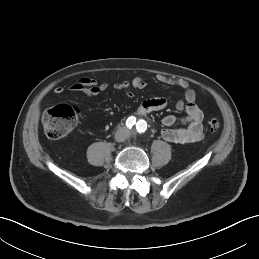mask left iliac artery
<instances>
[{
    "mask_svg": "<svg viewBox=\"0 0 259 259\" xmlns=\"http://www.w3.org/2000/svg\"><path fill=\"white\" fill-rule=\"evenodd\" d=\"M136 128L138 132H145L147 129V123L144 120H140L137 122Z\"/></svg>",
    "mask_w": 259,
    "mask_h": 259,
    "instance_id": "44dca946",
    "label": "left iliac artery"
}]
</instances>
